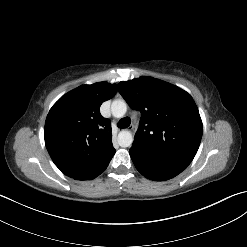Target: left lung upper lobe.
Returning <instances> with one entry per match:
<instances>
[{"mask_svg":"<svg viewBox=\"0 0 247 247\" xmlns=\"http://www.w3.org/2000/svg\"><path fill=\"white\" fill-rule=\"evenodd\" d=\"M118 88L128 105L142 115L133 144L185 169L195 157L203 133L192 97L177 86L146 76L122 81Z\"/></svg>","mask_w":247,"mask_h":247,"instance_id":"left-lung-upper-lobe-1","label":"left lung upper lobe"}]
</instances>
